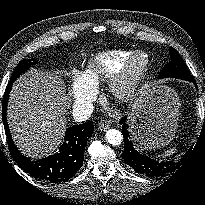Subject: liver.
<instances>
[{"mask_svg": "<svg viewBox=\"0 0 205 205\" xmlns=\"http://www.w3.org/2000/svg\"><path fill=\"white\" fill-rule=\"evenodd\" d=\"M68 100L57 75L31 70L14 83L8 123L16 146L25 155L40 157L58 147Z\"/></svg>", "mask_w": 205, "mask_h": 205, "instance_id": "6515ba94", "label": "liver"}]
</instances>
